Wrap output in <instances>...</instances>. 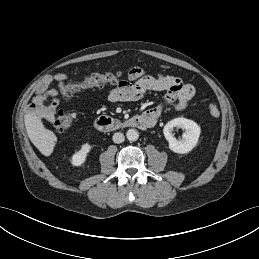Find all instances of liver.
I'll return each mask as SVG.
<instances>
[{"mask_svg": "<svg viewBox=\"0 0 259 259\" xmlns=\"http://www.w3.org/2000/svg\"><path fill=\"white\" fill-rule=\"evenodd\" d=\"M24 121L31 142L44 156H50L57 142L55 133L46 129L41 118L34 112H27Z\"/></svg>", "mask_w": 259, "mask_h": 259, "instance_id": "liver-1", "label": "liver"}]
</instances>
